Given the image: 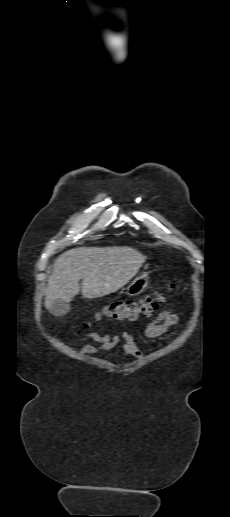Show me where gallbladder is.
Returning <instances> with one entry per match:
<instances>
[{
	"label": "gallbladder",
	"instance_id": "1",
	"mask_svg": "<svg viewBox=\"0 0 230 517\" xmlns=\"http://www.w3.org/2000/svg\"><path fill=\"white\" fill-rule=\"evenodd\" d=\"M70 310V305L68 302H64L61 300H56L53 302L50 307V312L56 316H62L66 314Z\"/></svg>",
	"mask_w": 230,
	"mask_h": 517
}]
</instances>
